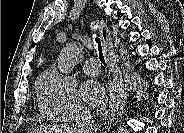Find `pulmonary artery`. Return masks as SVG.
Wrapping results in <instances>:
<instances>
[{"mask_svg":"<svg viewBox=\"0 0 184 133\" xmlns=\"http://www.w3.org/2000/svg\"><path fill=\"white\" fill-rule=\"evenodd\" d=\"M82 67L84 72L90 76H96L100 73V67H99L98 61L95 58L87 59L83 63Z\"/></svg>","mask_w":184,"mask_h":133,"instance_id":"e3ab8cb5","label":"pulmonary artery"}]
</instances>
